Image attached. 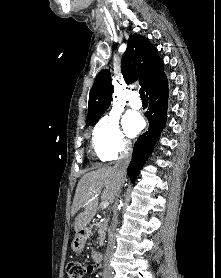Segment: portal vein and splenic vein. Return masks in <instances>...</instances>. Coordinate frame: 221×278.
I'll return each instance as SVG.
<instances>
[{
    "label": "portal vein and splenic vein",
    "mask_w": 221,
    "mask_h": 278,
    "mask_svg": "<svg viewBox=\"0 0 221 278\" xmlns=\"http://www.w3.org/2000/svg\"><path fill=\"white\" fill-rule=\"evenodd\" d=\"M109 204H110V203H109L108 201H103V202H101L100 205H101V208H102V209H106V208L109 206Z\"/></svg>",
    "instance_id": "obj_1"
}]
</instances>
